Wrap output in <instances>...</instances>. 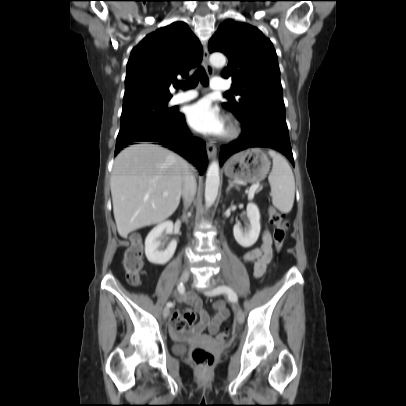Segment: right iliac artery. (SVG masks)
<instances>
[{
    "label": "right iliac artery",
    "instance_id": "1",
    "mask_svg": "<svg viewBox=\"0 0 406 406\" xmlns=\"http://www.w3.org/2000/svg\"><path fill=\"white\" fill-rule=\"evenodd\" d=\"M177 290H178V292H179L180 294H183L184 291H185L184 285H183L182 283H180V284L178 285V287H177ZM172 306H173V303H172V302H168V303H167V307H172Z\"/></svg>",
    "mask_w": 406,
    "mask_h": 406
}]
</instances>
